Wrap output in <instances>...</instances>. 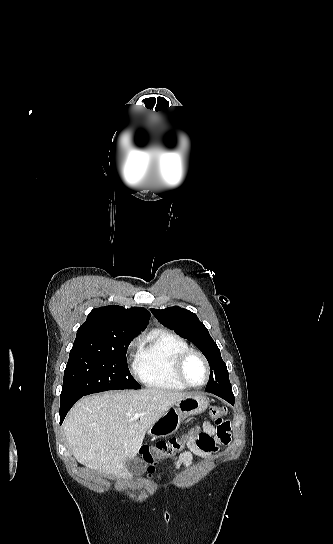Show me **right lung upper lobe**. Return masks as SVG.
I'll return each mask as SVG.
<instances>
[{
    "mask_svg": "<svg viewBox=\"0 0 333 544\" xmlns=\"http://www.w3.org/2000/svg\"><path fill=\"white\" fill-rule=\"evenodd\" d=\"M149 319L150 313L142 307L109 305L93 309L77 330L72 349H106L117 338L137 336Z\"/></svg>",
    "mask_w": 333,
    "mask_h": 544,
    "instance_id": "cb5924a9",
    "label": "right lung upper lobe"
}]
</instances>
